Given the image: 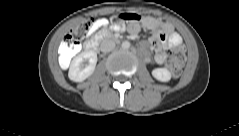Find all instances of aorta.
<instances>
[{
  "label": "aorta",
  "mask_w": 239,
  "mask_h": 136,
  "mask_svg": "<svg viewBox=\"0 0 239 136\" xmlns=\"http://www.w3.org/2000/svg\"><path fill=\"white\" fill-rule=\"evenodd\" d=\"M121 46L123 49H128L130 47V43L128 41H124V42H122Z\"/></svg>",
  "instance_id": "762f6f07"
}]
</instances>
